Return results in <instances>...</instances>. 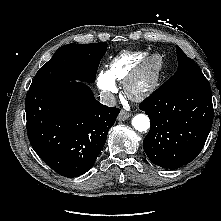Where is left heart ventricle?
<instances>
[{"instance_id":"1","label":"left heart ventricle","mask_w":221,"mask_h":221,"mask_svg":"<svg viewBox=\"0 0 221 221\" xmlns=\"http://www.w3.org/2000/svg\"><path fill=\"white\" fill-rule=\"evenodd\" d=\"M150 77H151V73L150 72L145 73L144 75H142L140 77V79L138 80V82L136 84V87L137 88L143 87L150 80Z\"/></svg>"}]
</instances>
